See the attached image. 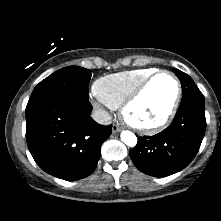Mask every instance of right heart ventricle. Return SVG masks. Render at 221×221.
<instances>
[{
    "instance_id": "1",
    "label": "right heart ventricle",
    "mask_w": 221,
    "mask_h": 221,
    "mask_svg": "<svg viewBox=\"0 0 221 221\" xmlns=\"http://www.w3.org/2000/svg\"><path fill=\"white\" fill-rule=\"evenodd\" d=\"M155 71V68H138L105 75L94 82L93 92L108 107L119 108L137 85Z\"/></svg>"
}]
</instances>
